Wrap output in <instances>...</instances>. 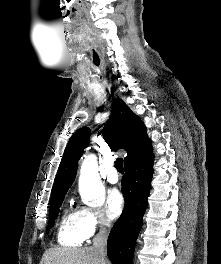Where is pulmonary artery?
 <instances>
[{
    "label": "pulmonary artery",
    "instance_id": "obj_1",
    "mask_svg": "<svg viewBox=\"0 0 221 264\" xmlns=\"http://www.w3.org/2000/svg\"><path fill=\"white\" fill-rule=\"evenodd\" d=\"M107 180L108 182L115 184L119 181V175L117 173V170L114 166H111L107 173Z\"/></svg>",
    "mask_w": 221,
    "mask_h": 264
}]
</instances>
